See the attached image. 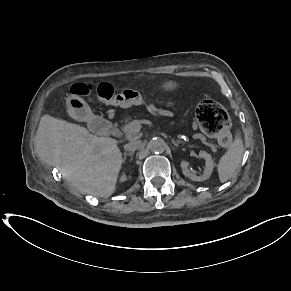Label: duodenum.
I'll use <instances>...</instances> for the list:
<instances>
[{
	"mask_svg": "<svg viewBox=\"0 0 291 291\" xmlns=\"http://www.w3.org/2000/svg\"><path fill=\"white\" fill-rule=\"evenodd\" d=\"M89 123H90L91 128L94 131L99 132V133H105L109 131L111 127L110 123L106 119L100 116L92 117Z\"/></svg>",
	"mask_w": 291,
	"mask_h": 291,
	"instance_id": "duodenum-1",
	"label": "duodenum"
}]
</instances>
